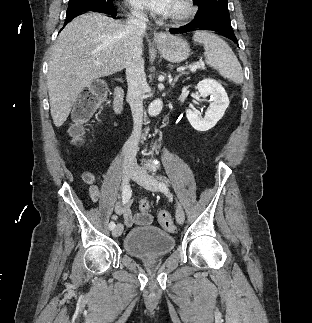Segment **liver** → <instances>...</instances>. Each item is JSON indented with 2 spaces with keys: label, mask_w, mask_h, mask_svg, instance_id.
<instances>
[{
  "label": "liver",
  "mask_w": 312,
  "mask_h": 323,
  "mask_svg": "<svg viewBox=\"0 0 312 323\" xmlns=\"http://www.w3.org/2000/svg\"><path fill=\"white\" fill-rule=\"evenodd\" d=\"M124 24L106 14L89 12L74 18L51 48L47 86L56 128L66 122L80 92L97 78L121 72L131 50ZM94 62H100L95 66Z\"/></svg>",
  "instance_id": "1"
}]
</instances>
